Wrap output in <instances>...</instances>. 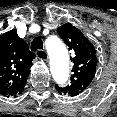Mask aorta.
<instances>
[{
    "instance_id": "1",
    "label": "aorta",
    "mask_w": 117,
    "mask_h": 117,
    "mask_svg": "<svg viewBox=\"0 0 117 117\" xmlns=\"http://www.w3.org/2000/svg\"><path fill=\"white\" fill-rule=\"evenodd\" d=\"M45 46L50 56L53 79L58 84L66 83L69 77V55L65 45L56 36H51L46 39Z\"/></svg>"
}]
</instances>
